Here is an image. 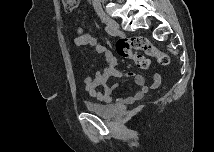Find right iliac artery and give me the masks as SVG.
Returning a JSON list of instances; mask_svg holds the SVG:
<instances>
[{"label":"right iliac artery","mask_w":215,"mask_h":152,"mask_svg":"<svg viewBox=\"0 0 215 152\" xmlns=\"http://www.w3.org/2000/svg\"><path fill=\"white\" fill-rule=\"evenodd\" d=\"M105 31L109 34V35H111V36H115L116 35V32L113 30V29H111L110 27H105Z\"/></svg>","instance_id":"1"}]
</instances>
